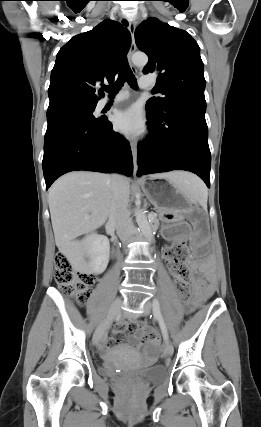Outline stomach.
I'll list each match as a JSON object with an SVG mask.
<instances>
[{"label": "stomach", "instance_id": "1", "mask_svg": "<svg viewBox=\"0 0 261 427\" xmlns=\"http://www.w3.org/2000/svg\"><path fill=\"white\" fill-rule=\"evenodd\" d=\"M151 177L141 182V188L165 222L183 220L191 209V200L178 184L170 179Z\"/></svg>", "mask_w": 261, "mask_h": 427}]
</instances>
